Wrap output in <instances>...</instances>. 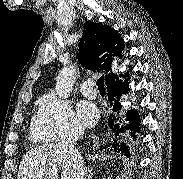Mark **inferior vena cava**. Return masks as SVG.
I'll return each instance as SVG.
<instances>
[{
	"instance_id": "602c4592",
	"label": "inferior vena cava",
	"mask_w": 183,
	"mask_h": 179,
	"mask_svg": "<svg viewBox=\"0 0 183 179\" xmlns=\"http://www.w3.org/2000/svg\"><path fill=\"white\" fill-rule=\"evenodd\" d=\"M83 135V129L74 128L71 129L63 139L58 143L60 149L67 151L73 161L74 179H86L85 168L81 153L75 147L77 140Z\"/></svg>"
}]
</instances>
